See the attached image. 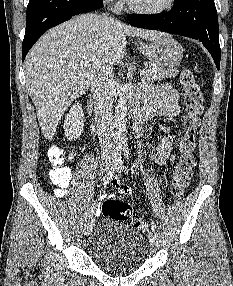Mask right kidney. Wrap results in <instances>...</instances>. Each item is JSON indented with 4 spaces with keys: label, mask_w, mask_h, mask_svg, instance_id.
<instances>
[{
    "label": "right kidney",
    "mask_w": 233,
    "mask_h": 286,
    "mask_svg": "<svg viewBox=\"0 0 233 286\" xmlns=\"http://www.w3.org/2000/svg\"><path fill=\"white\" fill-rule=\"evenodd\" d=\"M65 137L68 141L76 140L80 137L84 127V113L80 103H75L64 120Z\"/></svg>",
    "instance_id": "right-kidney-1"
}]
</instances>
